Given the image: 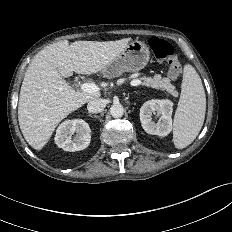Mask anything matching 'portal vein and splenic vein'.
<instances>
[{"label":"portal vein and splenic vein","mask_w":232,"mask_h":232,"mask_svg":"<svg viewBox=\"0 0 232 232\" xmlns=\"http://www.w3.org/2000/svg\"><path fill=\"white\" fill-rule=\"evenodd\" d=\"M141 84H142V82L139 79H135L131 82L132 86H138ZM81 90L84 92H88V93H96L99 91V87L93 83H83L81 85Z\"/></svg>","instance_id":"1"}]
</instances>
